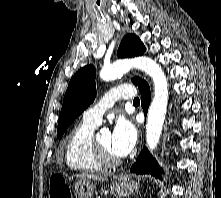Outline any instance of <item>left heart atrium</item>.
I'll return each mask as SVG.
<instances>
[{"label": "left heart atrium", "mask_w": 221, "mask_h": 198, "mask_svg": "<svg viewBox=\"0 0 221 198\" xmlns=\"http://www.w3.org/2000/svg\"><path fill=\"white\" fill-rule=\"evenodd\" d=\"M137 140V131L134 125L124 118H119L111 133V148L119 156H127Z\"/></svg>", "instance_id": "39dd6f15"}]
</instances>
